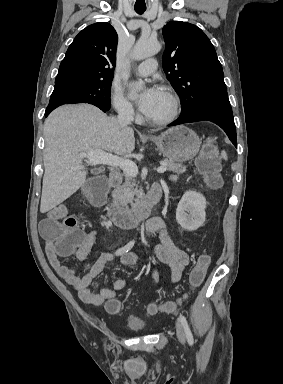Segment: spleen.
Here are the masks:
<instances>
[{
  "label": "spleen",
  "mask_w": 283,
  "mask_h": 384,
  "mask_svg": "<svg viewBox=\"0 0 283 384\" xmlns=\"http://www.w3.org/2000/svg\"><path fill=\"white\" fill-rule=\"evenodd\" d=\"M221 156H222L223 160H228L227 154H226V152H224V150H222Z\"/></svg>",
  "instance_id": "spleen-1"
}]
</instances>
